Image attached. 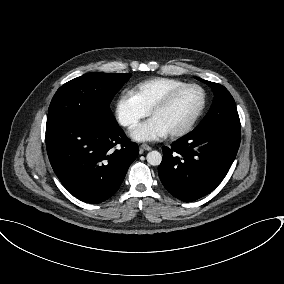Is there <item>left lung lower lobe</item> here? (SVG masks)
Returning <instances> with one entry per match:
<instances>
[{"label": "left lung lower lobe", "instance_id": "0a47b994", "mask_svg": "<svg viewBox=\"0 0 284 284\" xmlns=\"http://www.w3.org/2000/svg\"><path fill=\"white\" fill-rule=\"evenodd\" d=\"M240 122L197 127L170 148L164 147L160 180L177 199L191 202L213 191L228 173L239 148Z\"/></svg>", "mask_w": 284, "mask_h": 284}]
</instances>
